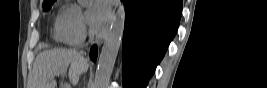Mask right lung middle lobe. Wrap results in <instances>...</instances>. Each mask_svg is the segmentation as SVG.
Segmentation results:
<instances>
[{
  "label": "right lung middle lobe",
  "instance_id": "obj_1",
  "mask_svg": "<svg viewBox=\"0 0 267 88\" xmlns=\"http://www.w3.org/2000/svg\"><path fill=\"white\" fill-rule=\"evenodd\" d=\"M54 2H55V0L44 2V4H43V10L44 11L49 10L51 8V6L53 5Z\"/></svg>",
  "mask_w": 267,
  "mask_h": 88
}]
</instances>
